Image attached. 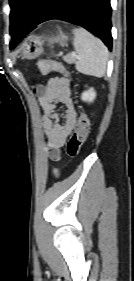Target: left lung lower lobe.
Listing matches in <instances>:
<instances>
[{
	"mask_svg": "<svg viewBox=\"0 0 134 281\" xmlns=\"http://www.w3.org/2000/svg\"><path fill=\"white\" fill-rule=\"evenodd\" d=\"M52 19L64 20L86 28L102 39L111 50L110 0H45L28 29L23 33L11 34L12 38H15L14 43H19L38 24Z\"/></svg>",
	"mask_w": 134,
	"mask_h": 281,
	"instance_id": "obj_1",
	"label": "left lung lower lobe"
}]
</instances>
